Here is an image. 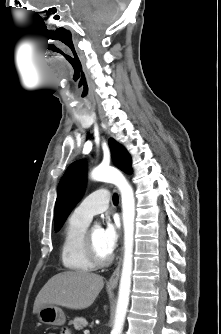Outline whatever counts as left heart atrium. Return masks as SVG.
I'll use <instances>...</instances> for the list:
<instances>
[{"instance_id": "39dd6f15", "label": "left heart atrium", "mask_w": 221, "mask_h": 334, "mask_svg": "<svg viewBox=\"0 0 221 334\" xmlns=\"http://www.w3.org/2000/svg\"><path fill=\"white\" fill-rule=\"evenodd\" d=\"M101 240L104 249L112 253L117 246L120 232L119 222L116 220H107L105 227L101 230Z\"/></svg>"}]
</instances>
